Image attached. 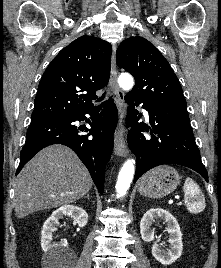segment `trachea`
Instances as JSON below:
<instances>
[{
    "label": "trachea",
    "instance_id": "1",
    "mask_svg": "<svg viewBox=\"0 0 221 268\" xmlns=\"http://www.w3.org/2000/svg\"><path fill=\"white\" fill-rule=\"evenodd\" d=\"M104 97H105V94H103L102 97L99 98L97 101H98V102L102 101V100L104 99Z\"/></svg>",
    "mask_w": 221,
    "mask_h": 268
}]
</instances>
